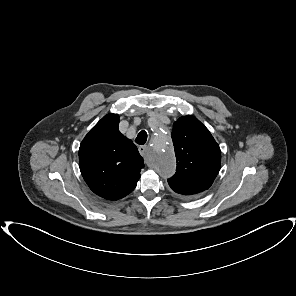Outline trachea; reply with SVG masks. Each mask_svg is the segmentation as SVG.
Returning a JSON list of instances; mask_svg holds the SVG:
<instances>
[{
	"mask_svg": "<svg viewBox=\"0 0 296 296\" xmlns=\"http://www.w3.org/2000/svg\"><path fill=\"white\" fill-rule=\"evenodd\" d=\"M147 141V132L142 130L139 132L138 136L135 139V142L139 145H144Z\"/></svg>",
	"mask_w": 296,
	"mask_h": 296,
	"instance_id": "3493384b",
	"label": "trachea"
}]
</instances>
